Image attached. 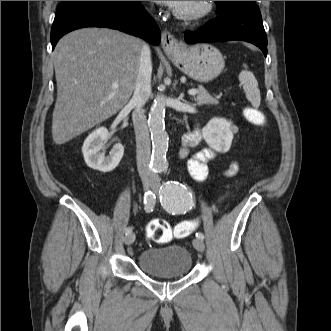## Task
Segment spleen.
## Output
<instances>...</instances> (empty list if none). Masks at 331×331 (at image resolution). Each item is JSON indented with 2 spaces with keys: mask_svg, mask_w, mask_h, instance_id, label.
<instances>
[{
  "mask_svg": "<svg viewBox=\"0 0 331 331\" xmlns=\"http://www.w3.org/2000/svg\"><path fill=\"white\" fill-rule=\"evenodd\" d=\"M245 70H242L238 78L243 86L247 100L253 107L258 108L260 105L261 97L258 89V82L252 72L247 70V65H243Z\"/></svg>",
  "mask_w": 331,
  "mask_h": 331,
  "instance_id": "3e777b00",
  "label": "spleen"
}]
</instances>
